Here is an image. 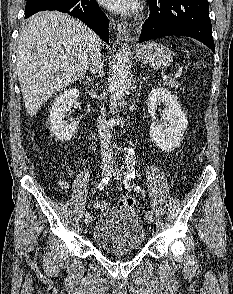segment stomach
<instances>
[{
	"label": "stomach",
	"instance_id": "stomach-1",
	"mask_svg": "<svg viewBox=\"0 0 233 294\" xmlns=\"http://www.w3.org/2000/svg\"><path fill=\"white\" fill-rule=\"evenodd\" d=\"M136 57L139 61L159 69L168 67L173 59L171 51L157 42L143 44L137 50Z\"/></svg>",
	"mask_w": 233,
	"mask_h": 294
}]
</instances>
